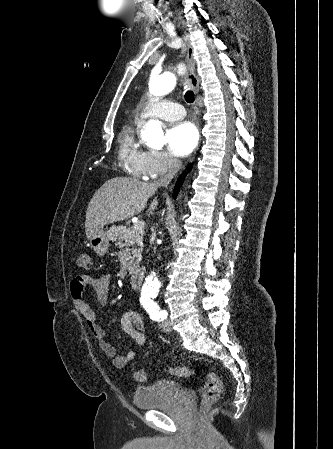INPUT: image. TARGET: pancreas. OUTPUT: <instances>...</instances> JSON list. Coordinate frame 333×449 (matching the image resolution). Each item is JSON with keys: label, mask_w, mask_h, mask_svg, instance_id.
Masks as SVG:
<instances>
[{"label": "pancreas", "mask_w": 333, "mask_h": 449, "mask_svg": "<svg viewBox=\"0 0 333 449\" xmlns=\"http://www.w3.org/2000/svg\"><path fill=\"white\" fill-rule=\"evenodd\" d=\"M107 237L113 238L120 249L124 248L123 251L128 261L127 268L135 269L142 259V248H137V246H141L143 233L126 226H112Z\"/></svg>", "instance_id": "pancreas-1"}]
</instances>
